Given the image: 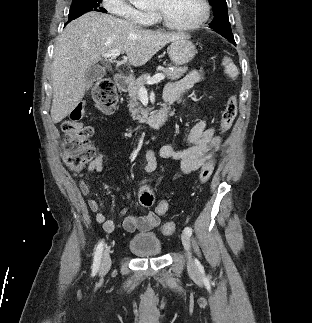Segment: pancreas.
Wrapping results in <instances>:
<instances>
[{"label": "pancreas", "instance_id": "1", "mask_svg": "<svg viewBox=\"0 0 312 323\" xmlns=\"http://www.w3.org/2000/svg\"><path fill=\"white\" fill-rule=\"evenodd\" d=\"M188 68L184 66V68H173V70H169V68H162L161 74H165L167 80H179L183 74H186ZM148 80H151L150 74H142L139 76L135 82H130L129 84V96H130V104L129 112L133 118V120H140V122H147L149 110H144L143 106H141L140 94L139 90L141 86H145Z\"/></svg>", "mask_w": 312, "mask_h": 323}]
</instances>
